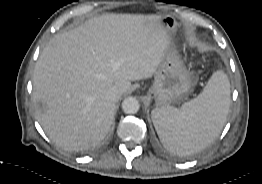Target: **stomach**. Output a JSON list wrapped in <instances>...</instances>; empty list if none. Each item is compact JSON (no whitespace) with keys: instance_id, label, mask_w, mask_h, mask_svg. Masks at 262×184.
<instances>
[{"instance_id":"0dacf381","label":"stomach","mask_w":262,"mask_h":184,"mask_svg":"<svg viewBox=\"0 0 262 184\" xmlns=\"http://www.w3.org/2000/svg\"><path fill=\"white\" fill-rule=\"evenodd\" d=\"M161 22L172 35L178 23L172 16H164ZM194 82L187 71L181 57L171 43L166 56L158 66L152 87L149 92L155 99L157 106H166L184 101L193 90Z\"/></svg>"}]
</instances>
